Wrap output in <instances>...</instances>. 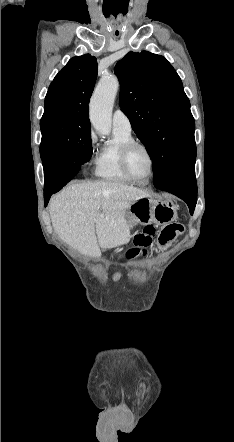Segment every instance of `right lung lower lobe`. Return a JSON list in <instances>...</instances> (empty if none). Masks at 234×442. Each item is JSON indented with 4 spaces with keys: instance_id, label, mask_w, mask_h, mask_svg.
Instances as JSON below:
<instances>
[{
    "instance_id": "1",
    "label": "right lung lower lobe",
    "mask_w": 234,
    "mask_h": 442,
    "mask_svg": "<svg viewBox=\"0 0 234 442\" xmlns=\"http://www.w3.org/2000/svg\"><path fill=\"white\" fill-rule=\"evenodd\" d=\"M42 163L45 181L44 202L47 206L51 195L65 186L79 172L82 165L73 161L69 155L49 158Z\"/></svg>"
}]
</instances>
